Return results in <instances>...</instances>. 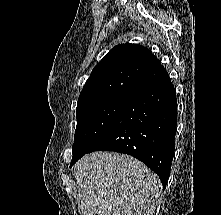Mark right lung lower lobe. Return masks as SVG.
<instances>
[{
    "instance_id": "1",
    "label": "right lung lower lobe",
    "mask_w": 221,
    "mask_h": 215,
    "mask_svg": "<svg viewBox=\"0 0 221 215\" xmlns=\"http://www.w3.org/2000/svg\"><path fill=\"white\" fill-rule=\"evenodd\" d=\"M176 124V92L167 75L133 97L87 153L107 150L129 154L145 163L166 185L174 155ZM81 157L72 160L71 166Z\"/></svg>"
}]
</instances>
